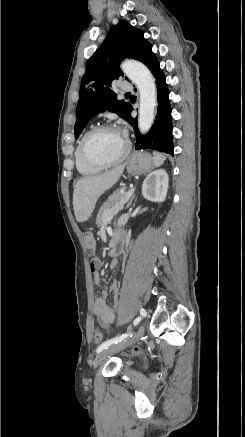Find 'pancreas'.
I'll return each mask as SVG.
<instances>
[{
    "label": "pancreas",
    "mask_w": 245,
    "mask_h": 437,
    "mask_svg": "<svg viewBox=\"0 0 245 437\" xmlns=\"http://www.w3.org/2000/svg\"><path fill=\"white\" fill-rule=\"evenodd\" d=\"M126 192L123 189H118L111 196H109L108 200L103 204L100 208L97 215V224L98 226L103 225L104 218L106 214L116 205L120 204L122 200L125 198Z\"/></svg>",
    "instance_id": "pancreas-1"
}]
</instances>
